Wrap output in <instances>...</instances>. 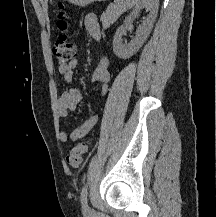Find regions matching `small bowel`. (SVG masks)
<instances>
[{"instance_id": "c3829d8e", "label": "small bowel", "mask_w": 216, "mask_h": 217, "mask_svg": "<svg viewBox=\"0 0 216 217\" xmlns=\"http://www.w3.org/2000/svg\"><path fill=\"white\" fill-rule=\"evenodd\" d=\"M84 27L87 34L95 40L101 39V31L94 14H87L84 19ZM110 60L108 57H103L95 71L92 74L91 82L101 86V94L105 95L108 91V84L110 81ZM77 67V60L73 59L65 65H59L58 71L64 77L65 81L69 84L72 83L74 78V71ZM82 100V93L74 88L70 87L65 90L57 100L56 108L60 117H66L70 112L75 110L76 106ZM98 116L91 115L85 120L79 127L73 129L70 133H67L64 128L59 129V139L62 142L78 141L85 137L92 128L97 124Z\"/></svg>"}]
</instances>
